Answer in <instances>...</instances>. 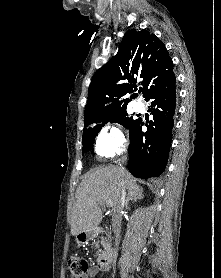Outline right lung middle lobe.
<instances>
[{
	"label": "right lung middle lobe",
	"mask_w": 221,
	"mask_h": 278,
	"mask_svg": "<svg viewBox=\"0 0 221 278\" xmlns=\"http://www.w3.org/2000/svg\"><path fill=\"white\" fill-rule=\"evenodd\" d=\"M109 121L120 123L127 129H130L132 125L136 122V120H133L132 118L128 117L125 108L118 112L98 117L90 121L89 123H84L85 128L83 130L82 136V154L87 152L92 147L97 133L101 130L104 124H106Z\"/></svg>",
	"instance_id": "1"
}]
</instances>
